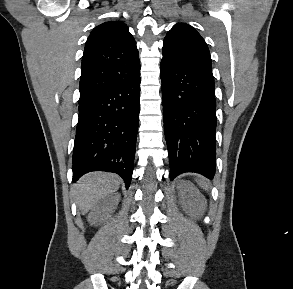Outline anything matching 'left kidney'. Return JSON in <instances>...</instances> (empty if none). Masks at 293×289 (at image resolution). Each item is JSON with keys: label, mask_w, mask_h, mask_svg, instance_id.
Segmentation results:
<instances>
[{"label": "left kidney", "mask_w": 293, "mask_h": 289, "mask_svg": "<svg viewBox=\"0 0 293 289\" xmlns=\"http://www.w3.org/2000/svg\"><path fill=\"white\" fill-rule=\"evenodd\" d=\"M178 188L191 194L193 211L200 215L206 206V200L201 193L192 184L185 181H181Z\"/></svg>", "instance_id": "1"}]
</instances>
